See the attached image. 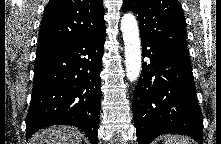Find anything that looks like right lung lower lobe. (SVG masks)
Segmentation results:
<instances>
[{
  "mask_svg": "<svg viewBox=\"0 0 221 144\" xmlns=\"http://www.w3.org/2000/svg\"><path fill=\"white\" fill-rule=\"evenodd\" d=\"M105 29L35 62L26 138L52 125L82 129L97 144Z\"/></svg>",
  "mask_w": 221,
  "mask_h": 144,
  "instance_id": "obj_1",
  "label": "right lung lower lobe"
}]
</instances>
